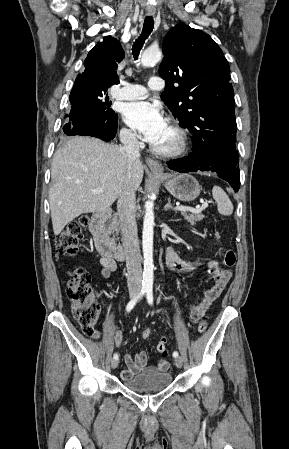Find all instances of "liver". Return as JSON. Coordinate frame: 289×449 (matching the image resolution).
<instances>
[{"label": "liver", "instance_id": "liver-1", "mask_svg": "<svg viewBox=\"0 0 289 449\" xmlns=\"http://www.w3.org/2000/svg\"><path fill=\"white\" fill-rule=\"evenodd\" d=\"M135 192L143 178V165L136 160L128 168L127 159L117 145L89 137H73L59 148L51 167L49 203L54 235L83 213L108 209L124 188ZM100 188L103 192L93 194Z\"/></svg>", "mask_w": 289, "mask_h": 449}]
</instances>
